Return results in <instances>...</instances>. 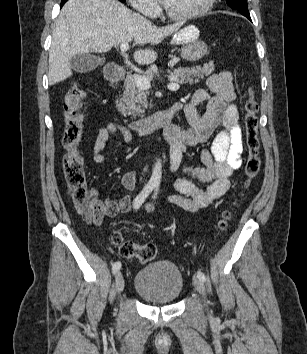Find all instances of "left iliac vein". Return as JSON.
Here are the masks:
<instances>
[{"label": "left iliac vein", "instance_id": "1", "mask_svg": "<svg viewBox=\"0 0 307 354\" xmlns=\"http://www.w3.org/2000/svg\"><path fill=\"white\" fill-rule=\"evenodd\" d=\"M193 285H194L195 289L202 295V297L204 299L205 306H207L206 292H205L203 282L199 278L195 277V278H193Z\"/></svg>", "mask_w": 307, "mask_h": 354}]
</instances>
